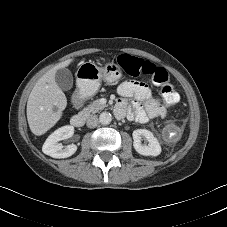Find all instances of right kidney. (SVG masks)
<instances>
[{
	"mask_svg": "<svg viewBox=\"0 0 227 227\" xmlns=\"http://www.w3.org/2000/svg\"><path fill=\"white\" fill-rule=\"evenodd\" d=\"M74 134V127L70 125L63 126L55 130L45 141L42 147L44 154L53 158H67L73 155L77 146L74 144L68 145L65 148L62 144H58L60 140L68 139Z\"/></svg>",
	"mask_w": 227,
	"mask_h": 227,
	"instance_id": "right-kidney-1",
	"label": "right kidney"
}]
</instances>
